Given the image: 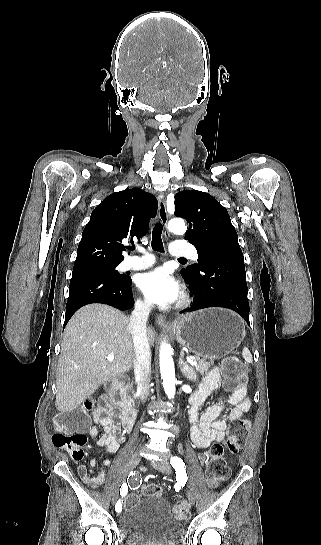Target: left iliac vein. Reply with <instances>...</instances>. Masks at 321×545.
I'll use <instances>...</instances> for the list:
<instances>
[{
  "label": "left iliac vein",
  "mask_w": 321,
  "mask_h": 545,
  "mask_svg": "<svg viewBox=\"0 0 321 545\" xmlns=\"http://www.w3.org/2000/svg\"><path fill=\"white\" fill-rule=\"evenodd\" d=\"M152 466L160 472L169 475L171 473V466L164 460L152 461ZM187 498L191 505L195 504V496L192 491L187 490Z\"/></svg>",
  "instance_id": "left-iliac-vein-1"
}]
</instances>
